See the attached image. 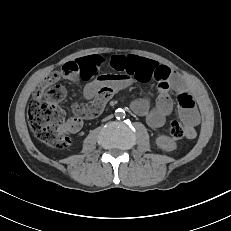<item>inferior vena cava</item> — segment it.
I'll list each match as a JSON object with an SVG mask.
<instances>
[{"label": "inferior vena cava", "instance_id": "602c4592", "mask_svg": "<svg viewBox=\"0 0 231 231\" xmlns=\"http://www.w3.org/2000/svg\"><path fill=\"white\" fill-rule=\"evenodd\" d=\"M111 118H112V115L106 117L105 120H108V119H111Z\"/></svg>", "mask_w": 231, "mask_h": 231}]
</instances>
